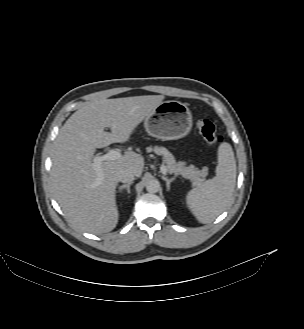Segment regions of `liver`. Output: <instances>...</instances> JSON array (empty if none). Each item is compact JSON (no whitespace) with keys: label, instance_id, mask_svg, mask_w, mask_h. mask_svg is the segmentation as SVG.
I'll return each instance as SVG.
<instances>
[{"label":"liver","instance_id":"liver-1","mask_svg":"<svg viewBox=\"0 0 304 329\" xmlns=\"http://www.w3.org/2000/svg\"><path fill=\"white\" fill-rule=\"evenodd\" d=\"M163 99V95L99 99L78 109L65 122L53 146L51 185L63 213L73 225L93 234L116 227L117 174L129 169L140 177L144 158L128 152L117 160L103 161L98 172L92 157L97 148L128 141ZM106 127L111 132H105Z\"/></svg>","mask_w":304,"mask_h":329}]
</instances>
